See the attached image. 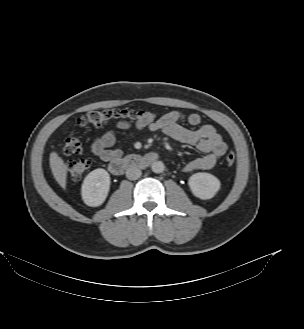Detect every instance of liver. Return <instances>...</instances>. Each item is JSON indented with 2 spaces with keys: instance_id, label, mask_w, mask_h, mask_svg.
<instances>
[{
  "instance_id": "6515ba94",
  "label": "liver",
  "mask_w": 304,
  "mask_h": 329,
  "mask_svg": "<svg viewBox=\"0 0 304 329\" xmlns=\"http://www.w3.org/2000/svg\"><path fill=\"white\" fill-rule=\"evenodd\" d=\"M49 164L52 174L57 183L63 189H66L68 166L64 163L63 159L59 157V155L54 151L50 153Z\"/></svg>"
}]
</instances>
